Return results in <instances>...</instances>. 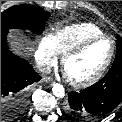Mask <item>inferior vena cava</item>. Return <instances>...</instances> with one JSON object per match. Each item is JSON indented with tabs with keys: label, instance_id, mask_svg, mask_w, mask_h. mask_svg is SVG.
<instances>
[{
	"label": "inferior vena cava",
	"instance_id": "602c4592",
	"mask_svg": "<svg viewBox=\"0 0 122 122\" xmlns=\"http://www.w3.org/2000/svg\"><path fill=\"white\" fill-rule=\"evenodd\" d=\"M37 69L44 74H48L51 72V66L47 64L37 65Z\"/></svg>",
	"mask_w": 122,
	"mask_h": 122
}]
</instances>
